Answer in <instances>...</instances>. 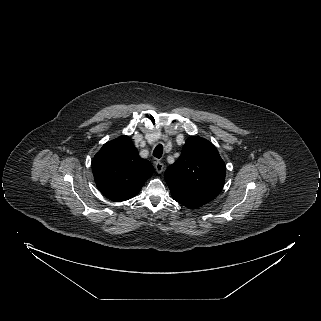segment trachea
<instances>
[{"label": "trachea", "instance_id": "obj_1", "mask_svg": "<svg viewBox=\"0 0 321 321\" xmlns=\"http://www.w3.org/2000/svg\"><path fill=\"white\" fill-rule=\"evenodd\" d=\"M162 153H163V146L162 144H158L153 151V156L159 159L161 158Z\"/></svg>", "mask_w": 321, "mask_h": 321}]
</instances>
